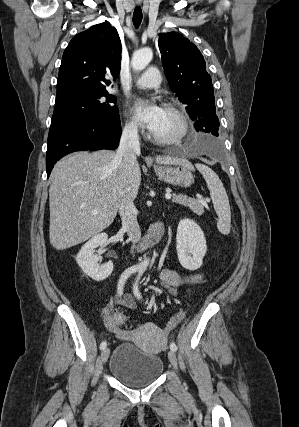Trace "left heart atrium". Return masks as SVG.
Here are the masks:
<instances>
[{
  "mask_svg": "<svg viewBox=\"0 0 299 427\" xmlns=\"http://www.w3.org/2000/svg\"><path fill=\"white\" fill-rule=\"evenodd\" d=\"M130 110L135 120L143 127L154 131L161 119L163 108L153 101L135 100Z\"/></svg>",
  "mask_w": 299,
  "mask_h": 427,
  "instance_id": "1",
  "label": "left heart atrium"
}]
</instances>
